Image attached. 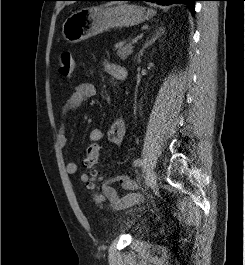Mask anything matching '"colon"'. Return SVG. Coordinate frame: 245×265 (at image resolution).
I'll list each match as a JSON object with an SVG mask.
<instances>
[{"mask_svg":"<svg viewBox=\"0 0 245 265\" xmlns=\"http://www.w3.org/2000/svg\"><path fill=\"white\" fill-rule=\"evenodd\" d=\"M75 71V62L72 55L69 52H64L59 57V72L65 78H70ZM99 150L100 147L96 143H90L85 151V156L82 161V164L85 168L91 171L92 181L89 184L91 189H99V186L95 183L96 178L98 177V171L96 166L99 161ZM94 199L97 203L102 202V194L96 193Z\"/></svg>","mask_w":245,"mask_h":265,"instance_id":"colon-1","label":"colon"}]
</instances>
